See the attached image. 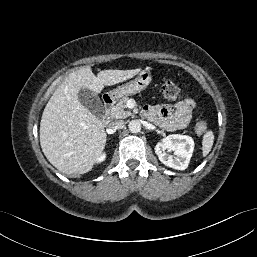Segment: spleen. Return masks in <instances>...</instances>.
<instances>
[{"instance_id":"obj_1","label":"spleen","mask_w":257,"mask_h":257,"mask_svg":"<svg viewBox=\"0 0 257 257\" xmlns=\"http://www.w3.org/2000/svg\"><path fill=\"white\" fill-rule=\"evenodd\" d=\"M214 142V134L211 130L206 131L202 139V154L203 157L207 156L211 151Z\"/></svg>"}]
</instances>
